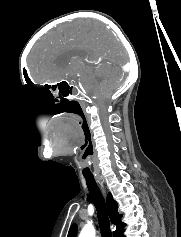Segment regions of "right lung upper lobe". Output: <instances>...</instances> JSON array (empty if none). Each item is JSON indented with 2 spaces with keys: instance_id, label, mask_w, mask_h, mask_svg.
<instances>
[{
  "instance_id": "1",
  "label": "right lung upper lobe",
  "mask_w": 181,
  "mask_h": 237,
  "mask_svg": "<svg viewBox=\"0 0 181 237\" xmlns=\"http://www.w3.org/2000/svg\"><path fill=\"white\" fill-rule=\"evenodd\" d=\"M107 207H108V213L109 217L112 223H114L117 228L113 232V237H125L123 235L124 227L126 226L125 223L121 222V214H118V204L113 199L111 193H108L107 195ZM77 233V226L76 224H73L68 232V237H76Z\"/></svg>"
}]
</instances>
